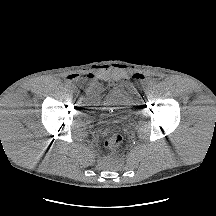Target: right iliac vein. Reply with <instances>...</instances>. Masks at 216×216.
I'll use <instances>...</instances> for the list:
<instances>
[{"mask_svg": "<svg viewBox=\"0 0 216 216\" xmlns=\"http://www.w3.org/2000/svg\"><path fill=\"white\" fill-rule=\"evenodd\" d=\"M72 94H77V89H73V91H71Z\"/></svg>", "mask_w": 216, "mask_h": 216, "instance_id": "right-iliac-vein-1", "label": "right iliac vein"}]
</instances>
